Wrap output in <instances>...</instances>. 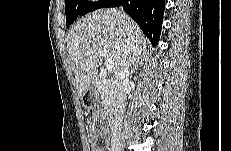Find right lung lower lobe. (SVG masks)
<instances>
[{"label": "right lung lower lobe", "mask_w": 231, "mask_h": 151, "mask_svg": "<svg viewBox=\"0 0 231 151\" xmlns=\"http://www.w3.org/2000/svg\"><path fill=\"white\" fill-rule=\"evenodd\" d=\"M123 6L124 11L134 19L149 38L152 45L159 41L165 0H106L102 7Z\"/></svg>", "instance_id": "1"}]
</instances>
